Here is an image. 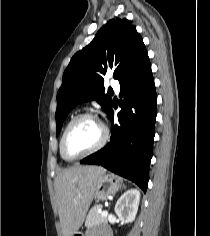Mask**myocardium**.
<instances>
[{
	"instance_id": "f54148a6",
	"label": "myocardium",
	"mask_w": 210,
	"mask_h": 236,
	"mask_svg": "<svg viewBox=\"0 0 210 236\" xmlns=\"http://www.w3.org/2000/svg\"><path fill=\"white\" fill-rule=\"evenodd\" d=\"M84 118H91V119H94L96 120L101 128H102V136H101V139L100 141L91 149H89L88 151L76 156V157H68L65 153V140H66V137L68 135V132L69 130L71 129V127L79 120L81 119H84ZM108 138H109V131H108V128L107 126L101 121V119L95 114V113H92V112H84V113H81L77 116H75L69 123L68 125L66 126L63 134H62V137H61V141H60V153H61V156L63 157L64 160L66 161H69V162H72V161H76V160H79V159H82L88 155H91L97 151H99L101 148H103L105 146V144L107 143L108 141Z\"/></svg>"
}]
</instances>
